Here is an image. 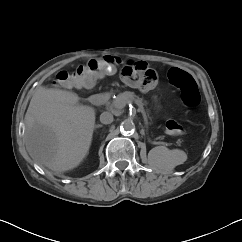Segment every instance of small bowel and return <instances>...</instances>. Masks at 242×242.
Masks as SVG:
<instances>
[{"mask_svg":"<svg viewBox=\"0 0 242 242\" xmlns=\"http://www.w3.org/2000/svg\"><path fill=\"white\" fill-rule=\"evenodd\" d=\"M145 63L144 62H138L137 63V65L140 67V66H143ZM122 78H123V80L127 83V84H129V85H131V86H134V87H137V86H139L138 84H135V83H131V82H129L123 75H122Z\"/></svg>","mask_w":242,"mask_h":242,"instance_id":"c3829d8e","label":"small bowel"}]
</instances>
